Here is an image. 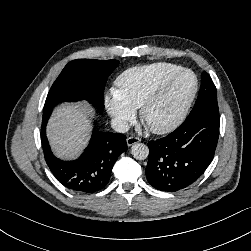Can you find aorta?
I'll list each match as a JSON object with an SVG mask.
<instances>
[{
  "mask_svg": "<svg viewBox=\"0 0 251 251\" xmlns=\"http://www.w3.org/2000/svg\"><path fill=\"white\" fill-rule=\"evenodd\" d=\"M132 155L137 160H144L149 155V148L143 143H136L132 146Z\"/></svg>",
  "mask_w": 251,
  "mask_h": 251,
  "instance_id": "762f6f07",
  "label": "aorta"
}]
</instances>
